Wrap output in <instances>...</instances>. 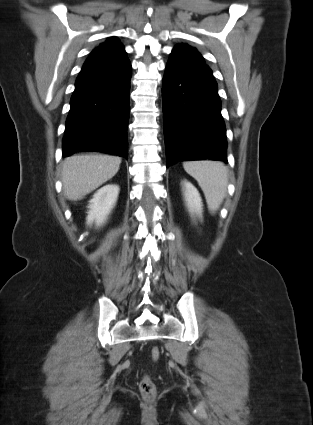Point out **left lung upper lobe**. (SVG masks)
I'll return each mask as SVG.
<instances>
[{"label":"left lung upper lobe","instance_id":"obj_1","mask_svg":"<svg viewBox=\"0 0 313 425\" xmlns=\"http://www.w3.org/2000/svg\"><path fill=\"white\" fill-rule=\"evenodd\" d=\"M171 55L181 56L190 62L207 66L201 54L188 44H177L173 48Z\"/></svg>","mask_w":313,"mask_h":425}]
</instances>
